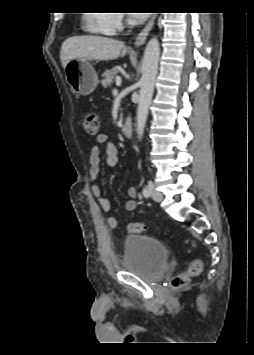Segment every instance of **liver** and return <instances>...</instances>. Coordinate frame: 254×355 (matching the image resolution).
<instances>
[{
  "label": "liver",
  "mask_w": 254,
  "mask_h": 355,
  "mask_svg": "<svg viewBox=\"0 0 254 355\" xmlns=\"http://www.w3.org/2000/svg\"><path fill=\"white\" fill-rule=\"evenodd\" d=\"M128 48L122 41L109 37L85 35L66 39L60 51L63 68L73 59L113 60L124 57Z\"/></svg>",
  "instance_id": "liver-1"
}]
</instances>
